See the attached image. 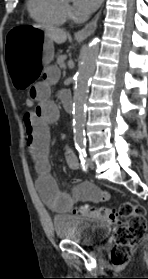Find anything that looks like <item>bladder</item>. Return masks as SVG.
Here are the masks:
<instances>
[{
	"mask_svg": "<svg viewBox=\"0 0 148 279\" xmlns=\"http://www.w3.org/2000/svg\"><path fill=\"white\" fill-rule=\"evenodd\" d=\"M53 227L59 240L88 247L103 243L110 232V227L101 221L71 215L54 216Z\"/></svg>",
	"mask_w": 148,
	"mask_h": 279,
	"instance_id": "1",
	"label": "bladder"
}]
</instances>
